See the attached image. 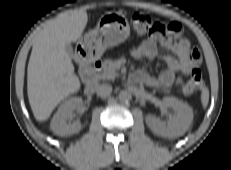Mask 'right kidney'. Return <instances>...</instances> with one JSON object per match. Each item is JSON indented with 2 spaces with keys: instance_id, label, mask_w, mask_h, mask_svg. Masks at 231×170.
I'll use <instances>...</instances> for the list:
<instances>
[{
  "instance_id": "obj_1",
  "label": "right kidney",
  "mask_w": 231,
  "mask_h": 170,
  "mask_svg": "<svg viewBox=\"0 0 231 170\" xmlns=\"http://www.w3.org/2000/svg\"><path fill=\"white\" fill-rule=\"evenodd\" d=\"M83 106V100L80 97H74L65 101L53 116L50 124L54 134L59 136H68L78 133L82 129L80 121L68 123L72 119V112L75 109H80Z\"/></svg>"
}]
</instances>
